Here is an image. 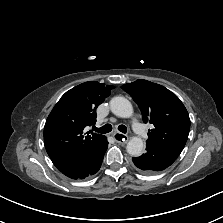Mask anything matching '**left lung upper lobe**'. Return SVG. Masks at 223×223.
<instances>
[{
	"instance_id": "obj_1",
	"label": "left lung upper lobe",
	"mask_w": 223,
	"mask_h": 223,
	"mask_svg": "<svg viewBox=\"0 0 223 223\" xmlns=\"http://www.w3.org/2000/svg\"><path fill=\"white\" fill-rule=\"evenodd\" d=\"M139 106L145 123L153 124L146 143L182 152L190 130V118L180 99L167 88L139 79L121 87Z\"/></svg>"
}]
</instances>
